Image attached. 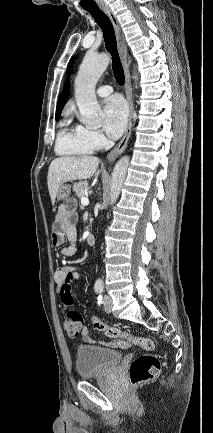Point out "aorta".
I'll list each match as a JSON object with an SVG mask.
<instances>
[{"label": "aorta", "instance_id": "762f6f07", "mask_svg": "<svg viewBox=\"0 0 213 433\" xmlns=\"http://www.w3.org/2000/svg\"><path fill=\"white\" fill-rule=\"evenodd\" d=\"M109 61L110 58L105 53L98 55L87 53L76 76L75 98L80 111V121L87 126L96 127L99 125L98 113L100 112V105L96 99L95 87L97 81L108 67ZM134 79L137 80V76ZM128 164L129 157L124 156L114 167L110 185L111 205L116 202L120 195ZM103 286V280L97 279L95 287L102 288Z\"/></svg>", "mask_w": 213, "mask_h": 433}]
</instances>
